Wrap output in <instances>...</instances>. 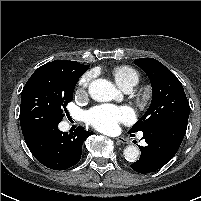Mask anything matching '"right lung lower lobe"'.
Here are the masks:
<instances>
[{"label": "right lung lower lobe", "mask_w": 201, "mask_h": 201, "mask_svg": "<svg viewBox=\"0 0 201 201\" xmlns=\"http://www.w3.org/2000/svg\"><path fill=\"white\" fill-rule=\"evenodd\" d=\"M33 156L54 170H65L76 165L82 154L84 140L92 133L77 127L74 132H62L58 123H42L22 130Z\"/></svg>", "instance_id": "1"}]
</instances>
